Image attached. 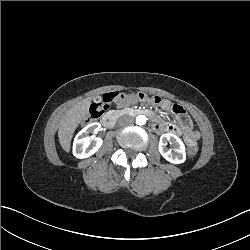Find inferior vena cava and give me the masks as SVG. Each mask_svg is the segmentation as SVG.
Wrapping results in <instances>:
<instances>
[{
    "instance_id": "obj_1",
    "label": "inferior vena cava",
    "mask_w": 250,
    "mask_h": 250,
    "mask_svg": "<svg viewBox=\"0 0 250 250\" xmlns=\"http://www.w3.org/2000/svg\"><path fill=\"white\" fill-rule=\"evenodd\" d=\"M132 117L129 116V115H123L121 117L118 118L117 120V124L120 125V126H127L128 124L132 123Z\"/></svg>"
}]
</instances>
